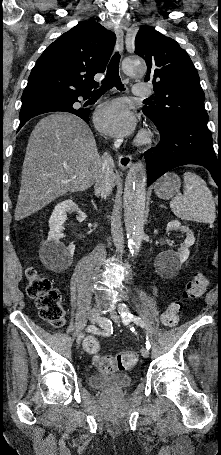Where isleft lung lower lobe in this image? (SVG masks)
Segmentation results:
<instances>
[{
	"instance_id": "left-lung-lower-lobe-1",
	"label": "left lung lower lobe",
	"mask_w": 221,
	"mask_h": 455,
	"mask_svg": "<svg viewBox=\"0 0 221 455\" xmlns=\"http://www.w3.org/2000/svg\"><path fill=\"white\" fill-rule=\"evenodd\" d=\"M156 126L161 141L144 154L148 186L175 167L196 164L207 168L221 189V156L215 154L207 126L191 122H179L172 128Z\"/></svg>"
}]
</instances>
